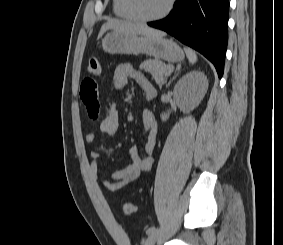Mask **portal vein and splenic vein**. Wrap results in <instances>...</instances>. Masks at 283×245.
<instances>
[{
	"label": "portal vein and splenic vein",
	"instance_id": "1",
	"mask_svg": "<svg viewBox=\"0 0 283 245\" xmlns=\"http://www.w3.org/2000/svg\"><path fill=\"white\" fill-rule=\"evenodd\" d=\"M172 68L169 69V73L171 72Z\"/></svg>",
	"mask_w": 283,
	"mask_h": 245
}]
</instances>
